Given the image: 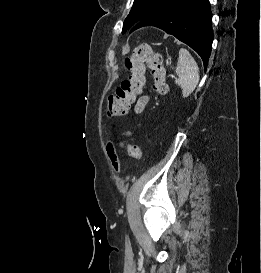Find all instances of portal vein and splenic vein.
<instances>
[{
    "instance_id": "18ae733b",
    "label": "portal vein and splenic vein",
    "mask_w": 261,
    "mask_h": 273,
    "mask_svg": "<svg viewBox=\"0 0 261 273\" xmlns=\"http://www.w3.org/2000/svg\"><path fill=\"white\" fill-rule=\"evenodd\" d=\"M171 78H172V79H174V78H175V76H174V75H171Z\"/></svg>"
}]
</instances>
